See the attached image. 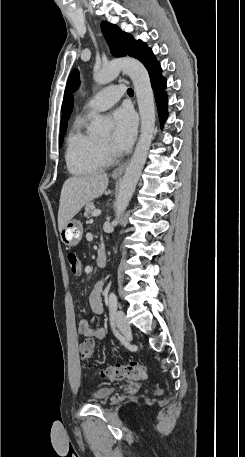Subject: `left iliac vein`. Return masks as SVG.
Instances as JSON below:
<instances>
[{
	"mask_svg": "<svg viewBox=\"0 0 245 457\" xmlns=\"http://www.w3.org/2000/svg\"><path fill=\"white\" fill-rule=\"evenodd\" d=\"M115 323L117 327L122 331V332H129L130 331V325L128 323V320L122 310H117L115 313Z\"/></svg>",
	"mask_w": 245,
	"mask_h": 457,
	"instance_id": "obj_1",
	"label": "left iliac vein"
}]
</instances>
